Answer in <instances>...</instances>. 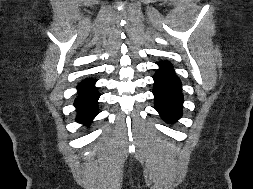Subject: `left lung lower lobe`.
I'll return each instance as SVG.
<instances>
[{
    "label": "left lung lower lobe",
    "instance_id": "1",
    "mask_svg": "<svg viewBox=\"0 0 253 189\" xmlns=\"http://www.w3.org/2000/svg\"><path fill=\"white\" fill-rule=\"evenodd\" d=\"M158 65L160 68L153 77L155 109L165 121L173 123L182 116L181 82L170 63L160 62Z\"/></svg>",
    "mask_w": 253,
    "mask_h": 189
}]
</instances>
